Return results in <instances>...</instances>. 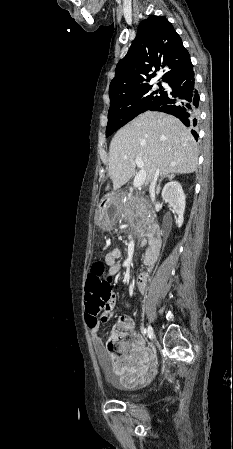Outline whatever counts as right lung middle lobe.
<instances>
[{"label":"right lung middle lobe","instance_id":"dd1d6c3e","mask_svg":"<svg viewBox=\"0 0 233 449\" xmlns=\"http://www.w3.org/2000/svg\"><path fill=\"white\" fill-rule=\"evenodd\" d=\"M158 86L159 89L153 92L151 91L152 86L147 85L111 98L106 137L110 136L140 113L157 108L166 94V91L162 89L160 83Z\"/></svg>","mask_w":233,"mask_h":449}]
</instances>
